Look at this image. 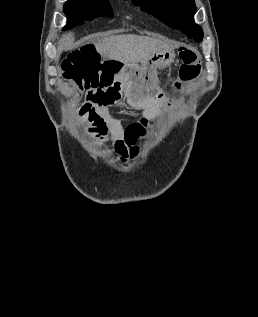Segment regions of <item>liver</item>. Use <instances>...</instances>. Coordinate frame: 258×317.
<instances>
[{
    "instance_id": "1",
    "label": "liver",
    "mask_w": 258,
    "mask_h": 317,
    "mask_svg": "<svg viewBox=\"0 0 258 317\" xmlns=\"http://www.w3.org/2000/svg\"><path fill=\"white\" fill-rule=\"evenodd\" d=\"M93 44L97 52L105 58L120 60L126 64L148 60L150 54L158 50L175 48L173 40L140 36V34H111V36L96 38Z\"/></svg>"
}]
</instances>
